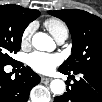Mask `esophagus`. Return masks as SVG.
Here are the masks:
<instances>
[{
  "label": "esophagus",
  "mask_w": 102,
  "mask_h": 102,
  "mask_svg": "<svg viewBox=\"0 0 102 102\" xmlns=\"http://www.w3.org/2000/svg\"><path fill=\"white\" fill-rule=\"evenodd\" d=\"M52 80L50 77H41V82L46 84L49 83Z\"/></svg>",
  "instance_id": "esophagus-1"
}]
</instances>
